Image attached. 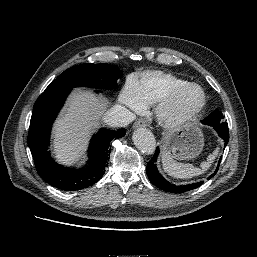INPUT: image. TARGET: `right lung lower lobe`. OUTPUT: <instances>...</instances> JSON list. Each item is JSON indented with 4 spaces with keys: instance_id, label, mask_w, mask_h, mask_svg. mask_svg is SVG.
<instances>
[{
    "instance_id": "obj_1",
    "label": "right lung lower lobe",
    "mask_w": 257,
    "mask_h": 257,
    "mask_svg": "<svg viewBox=\"0 0 257 257\" xmlns=\"http://www.w3.org/2000/svg\"><path fill=\"white\" fill-rule=\"evenodd\" d=\"M72 88L43 92L33 107L27 142L38 174L50 185L74 191L93 185L102 178L110 156V142L125 135V129H100L89 146V166L71 169L56 164L48 152L52 123ZM98 92V91H97Z\"/></svg>"
}]
</instances>
